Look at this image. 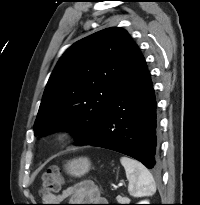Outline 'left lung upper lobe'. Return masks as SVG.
I'll use <instances>...</instances> for the list:
<instances>
[{
  "label": "left lung upper lobe",
  "instance_id": "left-lung-upper-lobe-1",
  "mask_svg": "<svg viewBox=\"0 0 200 205\" xmlns=\"http://www.w3.org/2000/svg\"><path fill=\"white\" fill-rule=\"evenodd\" d=\"M136 47L121 28H107L73 44L62 55L46 85L34 124L43 136L61 127L81 146L101 125L117 83Z\"/></svg>",
  "mask_w": 200,
  "mask_h": 205
}]
</instances>
